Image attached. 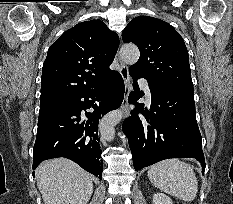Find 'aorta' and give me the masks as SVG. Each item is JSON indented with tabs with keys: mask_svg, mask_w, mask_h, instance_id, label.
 <instances>
[{
	"mask_svg": "<svg viewBox=\"0 0 233 204\" xmlns=\"http://www.w3.org/2000/svg\"><path fill=\"white\" fill-rule=\"evenodd\" d=\"M140 56L137 46L129 44L122 46L120 50L121 59L129 65L135 64ZM122 112L112 111L105 115L99 125L101 136L106 141H111L115 136V126L121 121Z\"/></svg>",
	"mask_w": 233,
	"mask_h": 204,
	"instance_id": "1",
	"label": "aorta"
}]
</instances>
